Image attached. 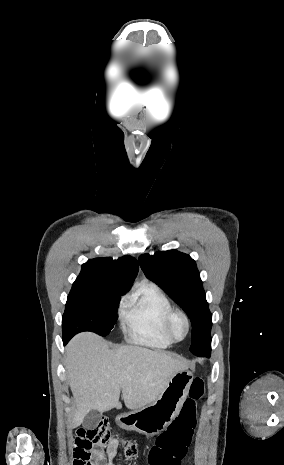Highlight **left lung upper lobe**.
Returning a JSON list of instances; mask_svg holds the SVG:
<instances>
[{
	"label": "left lung upper lobe",
	"mask_w": 284,
	"mask_h": 465,
	"mask_svg": "<svg viewBox=\"0 0 284 465\" xmlns=\"http://www.w3.org/2000/svg\"><path fill=\"white\" fill-rule=\"evenodd\" d=\"M145 275L159 285L186 312L192 323L190 351L210 356L212 314L195 261L176 250L139 257Z\"/></svg>",
	"instance_id": "5c2ea615"
}]
</instances>
